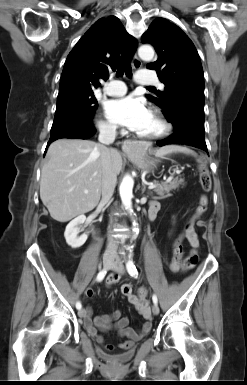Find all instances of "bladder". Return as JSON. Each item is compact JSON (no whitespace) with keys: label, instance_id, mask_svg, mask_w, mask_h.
<instances>
[{"label":"bladder","instance_id":"obj_1","mask_svg":"<svg viewBox=\"0 0 247 385\" xmlns=\"http://www.w3.org/2000/svg\"><path fill=\"white\" fill-rule=\"evenodd\" d=\"M131 355V353H128L127 355H121V356H119V357H128V356H130Z\"/></svg>","mask_w":247,"mask_h":385}]
</instances>
